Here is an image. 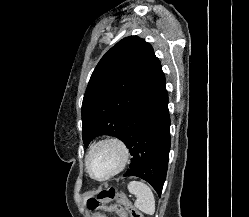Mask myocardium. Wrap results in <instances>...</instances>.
<instances>
[{"mask_svg": "<svg viewBox=\"0 0 249 217\" xmlns=\"http://www.w3.org/2000/svg\"><path fill=\"white\" fill-rule=\"evenodd\" d=\"M103 146H112L116 148L119 151V162L111 172H109L105 176L97 177L92 174V171L90 168V160L94 152L98 148L103 147ZM129 159H130V150L126 142L118 136L110 135V136L101 138L100 140H98L91 146L85 159V167H86V171L88 175L92 179L96 181H107L113 178L114 176L118 175L120 172H122L124 168L127 166Z\"/></svg>", "mask_w": 249, "mask_h": 217, "instance_id": "myocardium-1", "label": "myocardium"}]
</instances>
